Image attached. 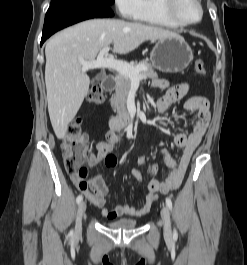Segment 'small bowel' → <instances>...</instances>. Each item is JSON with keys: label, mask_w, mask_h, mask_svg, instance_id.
I'll list each match as a JSON object with an SVG mask.
<instances>
[{"label": "small bowel", "mask_w": 247, "mask_h": 265, "mask_svg": "<svg viewBox=\"0 0 247 265\" xmlns=\"http://www.w3.org/2000/svg\"><path fill=\"white\" fill-rule=\"evenodd\" d=\"M153 86L166 89L163 97L156 102V111L158 114H163L173 103L181 100L189 91L188 83H179L170 86L166 80L156 79L153 81ZM185 112H198V120L193 131L190 134L178 133L174 136V144L182 149L181 156L178 160L166 150L161 151L164 162L172 169L169 177L160 182L152 178L147 183V195L144 204L140 208H135L128 205H117L113 209L106 207V199L110 194V189L101 176H93L86 180V176L72 175L71 179L75 186L95 207L101 209V214L107 219H115L124 215L127 216H142L148 213L153 202L156 200L159 193H169L176 190L185 175L190 159L200 144L210 119V103L202 96H193L188 98L184 104ZM122 141V137L115 132V129L107 132L105 139L96 144V153L88 155L87 164L89 168L95 167L98 163H104L108 168L117 166V158L115 155V145ZM138 164L146 166L147 161L144 156H139ZM156 173V165L148 166V174L152 177ZM133 177L142 182L143 176L139 169L132 170Z\"/></svg>", "instance_id": "small-bowel-1"}]
</instances>
